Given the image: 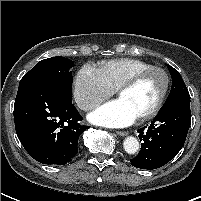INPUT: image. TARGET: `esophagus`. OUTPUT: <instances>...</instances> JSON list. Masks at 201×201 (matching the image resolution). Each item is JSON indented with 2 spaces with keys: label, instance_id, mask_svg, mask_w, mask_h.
<instances>
[{
  "label": "esophagus",
  "instance_id": "esophagus-1",
  "mask_svg": "<svg viewBox=\"0 0 201 201\" xmlns=\"http://www.w3.org/2000/svg\"><path fill=\"white\" fill-rule=\"evenodd\" d=\"M116 134L119 135V136H126V135H128V132H126V131H116Z\"/></svg>",
  "mask_w": 201,
  "mask_h": 201
}]
</instances>
